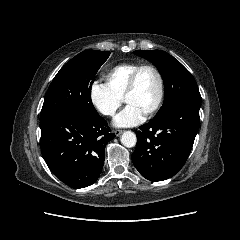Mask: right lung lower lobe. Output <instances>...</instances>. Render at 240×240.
Segmentation results:
<instances>
[{
    "label": "right lung lower lobe",
    "mask_w": 240,
    "mask_h": 240,
    "mask_svg": "<svg viewBox=\"0 0 240 240\" xmlns=\"http://www.w3.org/2000/svg\"><path fill=\"white\" fill-rule=\"evenodd\" d=\"M40 128L42 155L56 177L77 189L98 179L105 146L115 136L99 114L56 113L41 119Z\"/></svg>",
    "instance_id": "98d812e1"
}]
</instances>
